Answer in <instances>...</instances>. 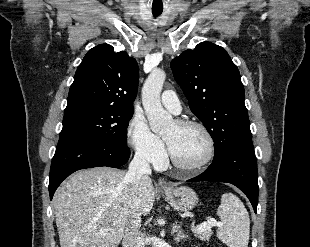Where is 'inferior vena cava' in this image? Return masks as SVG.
<instances>
[{
	"label": "inferior vena cava",
	"instance_id": "1",
	"mask_svg": "<svg viewBox=\"0 0 310 247\" xmlns=\"http://www.w3.org/2000/svg\"><path fill=\"white\" fill-rule=\"evenodd\" d=\"M151 174V168L148 161L147 155L141 151L137 150L135 152L134 158L129 165L128 172L126 174V180L131 183L132 188V202L131 207L132 212L129 220V224L126 227L124 243L125 247H141L142 238L140 237V232L138 231L141 227V213L139 212L138 205V191L141 186L140 181L142 177H148Z\"/></svg>",
	"mask_w": 310,
	"mask_h": 247
}]
</instances>
